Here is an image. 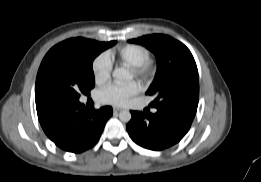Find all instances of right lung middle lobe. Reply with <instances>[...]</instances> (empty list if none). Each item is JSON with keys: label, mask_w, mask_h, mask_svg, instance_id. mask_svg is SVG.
Listing matches in <instances>:
<instances>
[{"label": "right lung middle lobe", "mask_w": 261, "mask_h": 182, "mask_svg": "<svg viewBox=\"0 0 261 182\" xmlns=\"http://www.w3.org/2000/svg\"><path fill=\"white\" fill-rule=\"evenodd\" d=\"M116 41L83 39L63 41L45 55L36 78L35 97L53 106L79 102L80 94L89 95L95 86L93 60Z\"/></svg>", "instance_id": "dd1d6c3e"}]
</instances>
